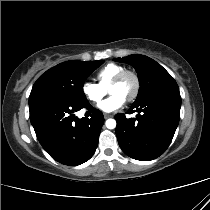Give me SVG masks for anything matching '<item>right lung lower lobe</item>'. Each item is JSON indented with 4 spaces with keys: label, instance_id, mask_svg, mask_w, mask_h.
Wrapping results in <instances>:
<instances>
[{
    "label": "right lung lower lobe",
    "instance_id": "1",
    "mask_svg": "<svg viewBox=\"0 0 210 210\" xmlns=\"http://www.w3.org/2000/svg\"><path fill=\"white\" fill-rule=\"evenodd\" d=\"M86 108L85 117L74 112ZM30 121L44 150L56 161L80 165L94 154L104 123L101 111L88 101L44 99L29 104Z\"/></svg>",
    "mask_w": 210,
    "mask_h": 210
}]
</instances>
